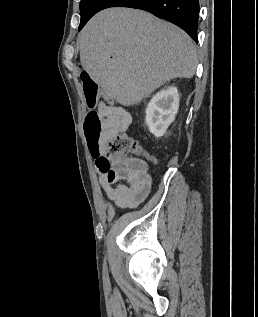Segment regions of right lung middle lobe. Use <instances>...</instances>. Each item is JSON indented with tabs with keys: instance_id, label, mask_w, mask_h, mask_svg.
<instances>
[{
	"instance_id": "obj_1",
	"label": "right lung middle lobe",
	"mask_w": 258,
	"mask_h": 317,
	"mask_svg": "<svg viewBox=\"0 0 258 317\" xmlns=\"http://www.w3.org/2000/svg\"><path fill=\"white\" fill-rule=\"evenodd\" d=\"M87 2V0H81L80 2V9L82 8V6Z\"/></svg>"
}]
</instances>
